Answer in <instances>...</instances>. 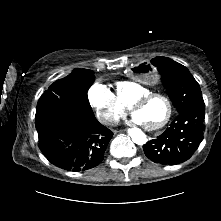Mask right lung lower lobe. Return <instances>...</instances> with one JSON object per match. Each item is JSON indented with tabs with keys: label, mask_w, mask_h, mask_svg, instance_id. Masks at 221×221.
Segmentation results:
<instances>
[{
	"label": "right lung lower lobe",
	"mask_w": 221,
	"mask_h": 221,
	"mask_svg": "<svg viewBox=\"0 0 221 221\" xmlns=\"http://www.w3.org/2000/svg\"><path fill=\"white\" fill-rule=\"evenodd\" d=\"M113 133L97 119H67L56 128L38 133L44 156L68 171H84L99 165Z\"/></svg>",
	"instance_id": "98d812e1"
}]
</instances>
